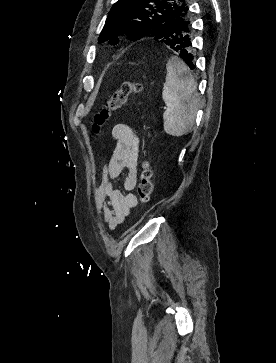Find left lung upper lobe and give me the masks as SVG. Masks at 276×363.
Listing matches in <instances>:
<instances>
[{
  "label": "left lung upper lobe",
  "instance_id": "5c2ea615",
  "mask_svg": "<svg viewBox=\"0 0 276 363\" xmlns=\"http://www.w3.org/2000/svg\"><path fill=\"white\" fill-rule=\"evenodd\" d=\"M187 14L186 0H118L98 39L116 44V36L126 34L131 40L154 37L170 46L177 23Z\"/></svg>",
  "mask_w": 276,
  "mask_h": 363
}]
</instances>
